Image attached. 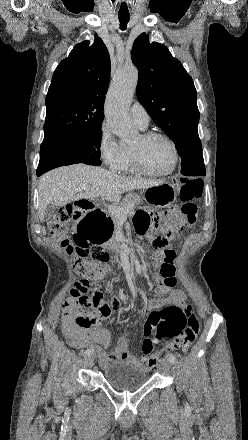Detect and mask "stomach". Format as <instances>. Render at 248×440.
Listing matches in <instances>:
<instances>
[{"instance_id": "stomach-1", "label": "stomach", "mask_w": 248, "mask_h": 440, "mask_svg": "<svg viewBox=\"0 0 248 440\" xmlns=\"http://www.w3.org/2000/svg\"><path fill=\"white\" fill-rule=\"evenodd\" d=\"M143 197L149 205L165 208L175 202L177 191L172 184L163 182L145 189ZM83 216L73 219L74 241H87L88 246H116L117 221L110 218V209H84Z\"/></svg>"}]
</instances>
